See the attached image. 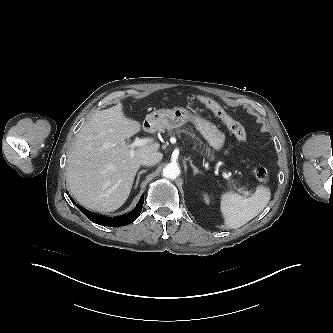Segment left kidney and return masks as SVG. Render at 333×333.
Returning <instances> with one entry per match:
<instances>
[{
    "label": "left kidney",
    "mask_w": 333,
    "mask_h": 333,
    "mask_svg": "<svg viewBox=\"0 0 333 333\" xmlns=\"http://www.w3.org/2000/svg\"><path fill=\"white\" fill-rule=\"evenodd\" d=\"M204 200L206 201V203H209V197H208V195H204Z\"/></svg>",
    "instance_id": "5707ae66"
}]
</instances>
